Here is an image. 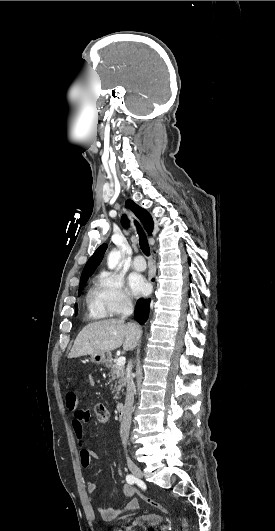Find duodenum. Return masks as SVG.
Here are the masks:
<instances>
[{"mask_svg":"<svg viewBox=\"0 0 275 531\" xmlns=\"http://www.w3.org/2000/svg\"><path fill=\"white\" fill-rule=\"evenodd\" d=\"M106 361H108V358H106ZM125 404L120 403L117 405V413L120 419H122L125 416Z\"/></svg>","mask_w":275,"mask_h":531,"instance_id":"1","label":"duodenum"}]
</instances>
